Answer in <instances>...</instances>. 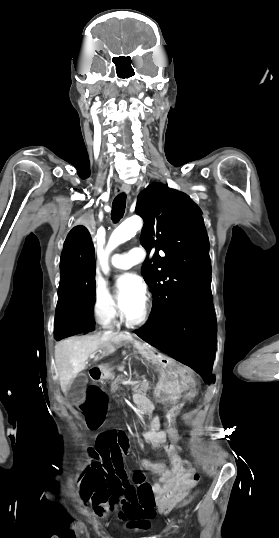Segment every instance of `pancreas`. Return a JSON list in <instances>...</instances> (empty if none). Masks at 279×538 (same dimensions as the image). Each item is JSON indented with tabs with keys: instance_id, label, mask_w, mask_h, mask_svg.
I'll use <instances>...</instances> for the list:
<instances>
[{
	"instance_id": "obj_1",
	"label": "pancreas",
	"mask_w": 279,
	"mask_h": 538,
	"mask_svg": "<svg viewBox=\"0 0 279 538\" xmlns=\"http://www.w3.org/2000/svg\"><path fill=\"white\" fill-rule=\"evenodd\" d=\"M114 374H110L109 380H112L111 382V392L114 394V392H117L119 390V382H123V376H117L115 378ZM149 385V380L143 379L136 380V383H134V388L132 391V396H139V397H145L148 396V391H150V388L147 387Z\"/></svg>"
}]
</instances>
